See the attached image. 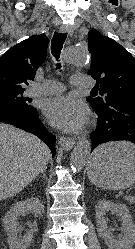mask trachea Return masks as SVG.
I'll return each instance as SVG.
<instances>
[{
	"instance_id": "trachea-1",
	"label": "trachea",
	"mask_w": 135,
	"mask_h": 249,
	"mask_svg": "<svg viewBox=\"0 0 135 249\" xmlns=\"http://www.w3.org/2000/svg\"><path fill=\"white\" fill-rule=\"evenodd\" d=\"M67 37V33H58L55 32L52 38V42H51V52L52 55L58 60V58L60 57V53L63 47V44L66 40ZM61 65L60 63L57 64V69H60ZM95 91V90H92Z\"/></svg>"
}]
</instances>
